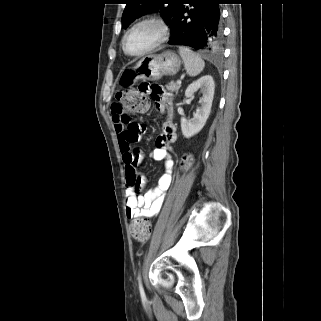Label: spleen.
I'll use <instances>...</instances> for the list:
<instances>
[{
	"instance_id": "spleen-1",
	"label": "spleen",
	"mask_w": 321,
	"mask_h": 321,
	"mask_svg": "<svg viewBox=\"0 0 321 321\" xmlns=\"http://www.w3.org/2000/svg\"><path fill=\"white\" fill-rule=\"evenodd\" d=\"M179 53L183 59L184 67L189 76L194 77L202 72L205 62L197 53L185 46L179 47Z\"/></svg>"
}]
</instances>
